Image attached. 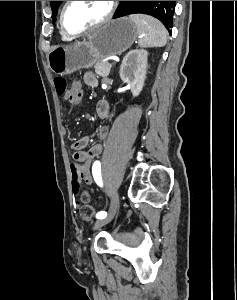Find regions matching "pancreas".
<instances>
[{"mask_svg": "<svg viewBox=\"0 0 237 300\" xmlns=\"http://www.w3.org/2000/svg\"><path fill=\"white\" fill-rule=\"evenodd\" d=\"M105 65H107V63H95L94 69L96 75H99V77H108L111 68L107 69L105 68ZM109 65L112 67L113 63H110Z\"/></svg>", "mask_w": 237, "mask_h": 300, "instance_id": "1", "label": "pancreas"}]
</instances>
